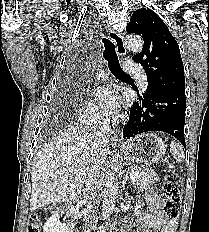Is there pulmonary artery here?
<instances>
[{
	"instance_id": "e3ab8cb5",
	"label": "pulmonary artery",
	"mask_w": 209,
	"mask_h": 232,
	"mask_svg": "<svg viewBox=\"0 0 209 232\" xmlns=\"http://www.w3.org/2000/svg\"><path fill=\"white\" fill-rule=\"evenodd\" d=\"M124 69L127 73L138 78L142 87H144V88L147 87L146 74L139 66H137L136 64H134L132 62H126L124 64ZM99 78H101L102 80H106L108 78V76L105 73H100Z\"/></svg>"
}]
</instances>
